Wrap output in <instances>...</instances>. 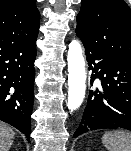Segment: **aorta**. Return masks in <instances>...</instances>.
<instances>
[{
    "instance_id": "obj_1",
    "label": "aorta",
    "mask_w": 131,
    "mask_h": 151,
    "mask_svg": "<svg viewBox=\"0 0 131 151\" xmlns=\"http://www.w3.org/2000/svg\"><path fill=\"white\" fill-rule=\"evenodd\" d=\"M68 109L70 112L77 110L86 92L85 60L81 44L78 40H72L69 44L68 54Z\"/></svg>"
}]
</instances>
